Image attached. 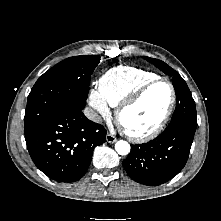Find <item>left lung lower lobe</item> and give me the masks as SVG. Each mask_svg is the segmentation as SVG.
Returning a JSON list of instances; mask_svg holds the SVG:
<instances>
[{"label":"left lung lower lobe","mask_w":221,"mask_h":221,"mask_svg":"<svg viewBox=\"0 0 221 221\" xmlns=\"http://www.w3.org/2000/svg\"><path fill=\"white\" fill-rule=\"evenodd\" d=\"M195 131L184 125L167 127L148 143L131 145L123 161L126 172L143 185L156 186L171 180L187 162Z\"/></svg>","instance_id":"0a47b994"}]
</instances>
